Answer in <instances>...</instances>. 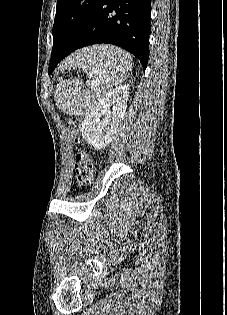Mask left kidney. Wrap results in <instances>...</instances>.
Returning a JSON list of instances; mask_svg holds the SVG:
<instances>
[{
    "label": "left kidney",
    "instance_id": "obj_1",
    "mask_svg": "<svg viewBox=\"0 0 227 315\" xmlns=\"http://www.w3.org/2000/svg\"><path fill=\"white\" fill-rule=\"evenodd\" d=\"M128 97V85H120L105 93L85 116L82 136L95 150H101L111 142L125 114Z\"/></svg>",
    "mask_w": 227,
    "mask_h": 315
}]
</instances>
